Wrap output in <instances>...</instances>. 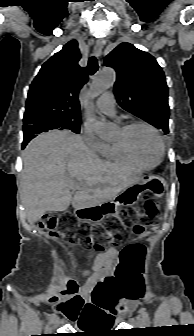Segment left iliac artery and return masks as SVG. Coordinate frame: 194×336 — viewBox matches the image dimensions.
Here are the masks:
<instances>
[{
    "label": "left iliac artery",
    "mask_w": 194,
    "mask_h": 336,
    "mask_svg": "<svg viewBox=\"0 0 194 336\" xmlns=\"http://www.w3.org/2000/svg\"><path fill=\"white\" fill-rule=\"evenodd\" d=\"M141 314H142V317H143V320L145 322L146 325H150V318H149V315L148 313L145 311L144 308L141 309Z\"/></svg>",
    "instance_id": "left-iliac-artery-1"
}]
</instances>
